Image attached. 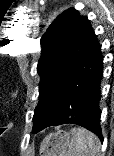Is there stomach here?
I'll return each mask as SVG.
<instances>
[{"mask_svg":"<svg viewBox=\"0 0 114 156\" xmlns=\"http://www.w3.org/2000/svg\"><path fill=\"white\" fill-rule=\"evenodd\" d=\"M73 142L72 132L57 129L43 138L39 149L40 156H67Z\"/></svg>","mask_w":114,"mask_h":156,"instance_id":"obj_1","label":"stomach"}]
</instances>
